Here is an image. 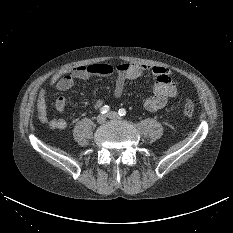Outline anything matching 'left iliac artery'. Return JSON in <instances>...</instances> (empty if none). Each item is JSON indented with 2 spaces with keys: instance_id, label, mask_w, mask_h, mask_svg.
Instances as JSON below:
<instances>
[{
  "instance_id": "1",
  "label": "left iliac artery",
  "mask_w": 233,
  "mask_h": 233,
  "mask_svg": "<svg viewBox=\"0 0 233 233\" xmlns=\"http://www.w3.org/2000/svg\"><path fill=\"white\" fill-rule=\"evenodd\" d=\"M120 116H125L126 115V110L124 108L119 109L118 111Z\"/></svg>"
}]
</instances>
